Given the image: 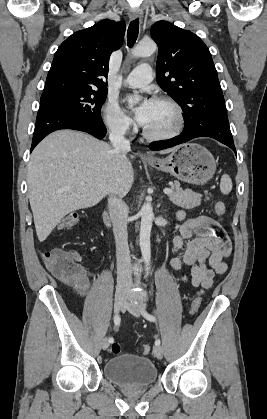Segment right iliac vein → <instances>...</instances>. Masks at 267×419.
Here are the masks:
<instances>
[{
	"label": "right iliac vein",
	"mask_w": 267,
	"mask_h": 419,
	"mask_svg": "<svg viewBox=\"0 0 267 419\" xmlns=\"http://www.w3.org/2000/svg\"><path fill=\"white\" fill-rule=\"evenodd\" d=\"M125 298H126V293L123 291H120L116 294L115 302H114V312L116 314L119 313L120 310L123 308ZM108 346H109L108 338L103 339L102 348L105 350L108 348Z\"/></svg>",
	"instance_id": "1"
}]
</instances>
